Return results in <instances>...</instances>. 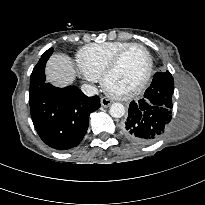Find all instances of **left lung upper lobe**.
I'll return each instance as SVG.
<instances>
[{"label": "left lung upper lobe", "mask_w": 205, "mask_h": 205, "mask_svg": "<svg viewBox=\"0 0 205 205\" xmlns=\"http://www.w3.org/2000/svg\"><path fill=\"white\" fill-rule=\"evenodd\" d=\"M160 86L165 91V95L169 98L170 102H172V94L174 92V81L173 77L169 71L166 72H158L155 74L154 79L151 83V86L146 90L144 97L146 98L148 95H152V89ZM167 101V99H166Z\"/></svg>", "instance_id": "5c2ea615"}]
</instances>
